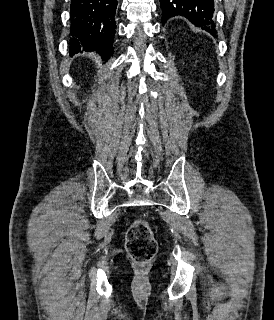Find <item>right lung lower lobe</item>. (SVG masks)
<instances>
[{"instance_id":"obj_1","label":"right lung lower lobe","mask_w":274,"mask_h":320,"mask_svg":"<svg viewBox=\"0 0 274 320\" xmlns=\"http://www.w3.org/2000/svg\"><path fill=\"white\" fill-rule=\"evenodd\" d=\"M117 0H71L70 51L96 50L105 59L113 53Z\"/></svg>"}]
</instances>
